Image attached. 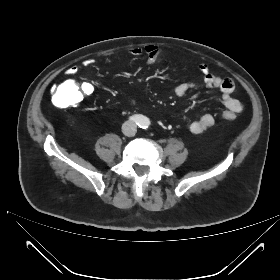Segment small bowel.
I'll return each instance as SVG.
<instances>
[{
    "label": "small bowel",
    "instance_id": "small-bowel-1",
    "mask_svg": "<svg viewBox=\"0 0 280 280\" xmlns=\"http://www.w3.org/2000/svg\"><path fill=\"white\" fill-rule=\"evenodd\" d=\"M128 53L133 57L145 56L148 63L153 64L157 62L160 57V50L155 45H148L142 47H131L128 49ZM95 62L94 59H87L84 62L86 67L91 66ZM200 72L204 75L202 83L197 81H185L179 83L174 88V93L178 97H182L191 90L198 88L218 89L222 93L221 102L226 108L223 115L232 114L235 118L236 114L242 112L244 106L241 101L234 98L232 93L235 89L234 81L230 78L221 77L210 72L209 66L206 63L199 65ZM79 72V67L73 65L68 69V74L71 76L76 75ZM95 90V86L92 82L85 81L80 85V95L82 99L85 96L91 95ZM129 103H133V100H129ZM215 123V119L210 114H199L196 119L190 124V131L193 134H200L207 129L211 128Z\"/></svg>",
    "mask_w": 280,
    "mask_h": 280
}]
</instances>
